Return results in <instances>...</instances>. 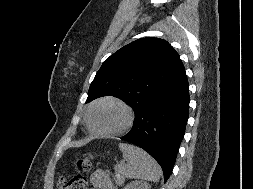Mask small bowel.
Here are the masks:
<instances>
[{
	"label": "small bowel",
	"instance_id": "1",
	"mask_svg": "<svg viewBox=\"0 0 253 189\" xmlns=\"http://www.w3.org/2000/svg\"><path fill=\"white\" fill-rule=\"evenodd\" d=\"M92 189H116L109 175L101 170H95L90 176Z\"/></svg>",
	"mask_w": 253,
	"mask_h": 189
}]
</instances>
